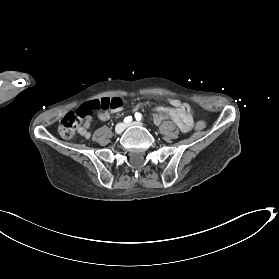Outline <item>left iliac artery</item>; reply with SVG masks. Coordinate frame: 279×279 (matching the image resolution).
Listing matches in <instances>:
<instances>
[{"instance_id":"left-iliac-artery-1","label":"left iliac artery","mask_w":279,"mask_h":279,"mask_svg":"<svg viewBox=\"0 0 279 279\" xmlns=\"http://www.w3.org/2000/svg\"><path fill=\"white\" fill-rule=\"evenodd\" d=\"M135 118H136L137 121H141L142 120V115L140 113H136Z\"/></svg>"}]
</instances>
